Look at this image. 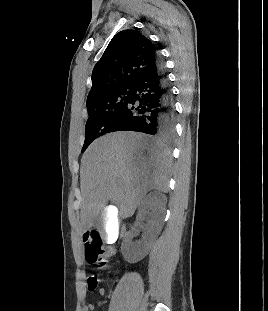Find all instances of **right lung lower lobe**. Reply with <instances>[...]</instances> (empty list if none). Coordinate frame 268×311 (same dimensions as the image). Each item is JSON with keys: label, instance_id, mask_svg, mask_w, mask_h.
<instances>
[{"label": "right lung lower lobe", "instance_id": "obj_1", "mask_svg": "<svg viewBox=\"0 0 268 311\" xmlns=\"http://www.w3.org/2000/svg\"><path fill=\"white\" fill-rule=\"evenodd\" d=\"M175 125L176 112L172 94L163 62L157 55L154 65L132 86V96L127 107L108 133L136 131L170 141L175 132Z\"/></svg>", "mask_w": 268, "mask_h": 311}]
</instances>
